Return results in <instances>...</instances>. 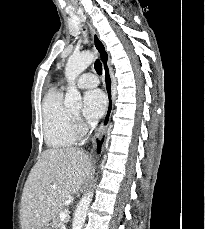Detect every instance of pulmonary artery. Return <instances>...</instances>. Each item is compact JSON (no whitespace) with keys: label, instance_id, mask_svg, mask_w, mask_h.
Returning a JSON list of instances; mask_svg holds the SVG:
<instances>
[{"label":"pulmonary artery","instance_id":"1","mask_svg":"<svg viewBox=\"0 0 205 229\" xmlns=\"http://www.w3.org/2000/svg\"><path fill=\"white\" fill-rule=\"evenodd\" d=\"M99 80L93 73H84L77 79V85L80 88H93L96 87Z\"/></svg>","mask_w":205,"mask_h":229}]
</instances>
